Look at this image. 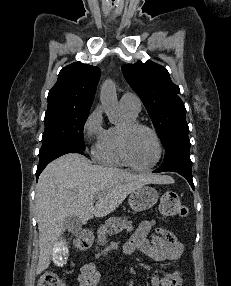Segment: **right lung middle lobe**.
Returning <instances> with one entry per match:
<instances>
[{"instance_id": "1", "label": "right lung middle lobe", "mask_w": 231, "mask_h": 286, "mask_svg": "<svg viewBox=\"0 0 231 286\" xmlns=\"http://www.w3.org/2000/svg\"><path fill=\"white\" fill-rule=\"evenodd\" d=\"M88 115L89 109L48 108L44 119L45 131L39 156L65 146L85 150L83 127Z\"/></svg>"}]
</instances>
